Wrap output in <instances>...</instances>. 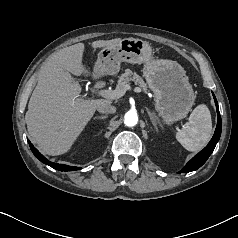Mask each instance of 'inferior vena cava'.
<instances>
[{
  "label": "inferior vena cava",
  "mask_w": 238,
  "mask_h": 238,
  "mask_svg": "<svg viewBox=\"0 0 238 238\" xmlns=\"http://www.w3.org/2000/svg\"><path fill=\"white\" fill-rule=\"evenodd\" d=\"M98 112L103 114H113L116 112L115 106L109 104H102L97 107Z\"/></svg>",
  "instance_id": "1"
}]
</instances>
